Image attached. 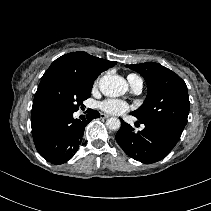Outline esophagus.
Instances as JSON below:
<instances>
[{
  "mask_svg": "<svg viewBox=\"0 0 211 211\" xmlns=\"http://www.w3.org/2000/svg\"><path fill=\"white\" fill-rule=\"evenodd\" d=\"M100 117H101L102 119H106V118H109L110 115L101 113Z\"/></svg>",
  "mask_w": 211,
  "mask_h": 211,
  "instance_id": "34e87169",
  "label": "esophagus"
}]
</instances>
